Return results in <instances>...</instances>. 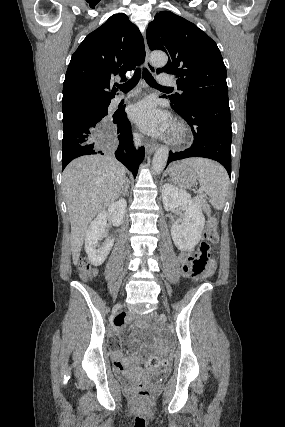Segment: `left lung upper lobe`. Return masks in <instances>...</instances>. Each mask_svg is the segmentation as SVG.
Returning <instances> with one entry per match:
<instances>
[{"mask_svg": "<svg viewBox=\"0 0 285 427\" xmlns=\"http://www.w3.org/2000/svg\"><path fill=\"white\" fill-rule=\"evenodd\" d=\"M146 35L150 50L168 55L159 72L175 75L182 91L168 96L171 104L183 108L209 100L229 105L226 67L219 48L205 32L170 11H161L149 23Z\"/></svg>", "mask_w": 285, "mask_h": 427, "instance_id": "obj_1", "label": "left lung upper lobe"}]
</instances>
